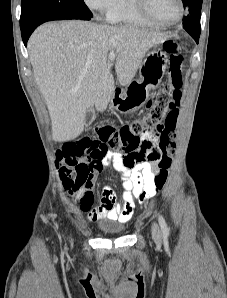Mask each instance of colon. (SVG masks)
<instances>
[{"instance_id":"1","label":"colon","mask_w":227,"mask_h":298,"mask_svg":"<svg viewBox=\"0 0 227 298\" xmlns=\"http://www.w3.org/2000/svg\"><path fill=\"white\" fill-rule=\"evenodd\" d=\"M183 49L184 46L176 41L164 44V50L170 57L169 80L157 92L155 102L148 103L152 105L149 112L121 125L98 124L93 128L95 138L90 139L91 142H109L108 150H141L144 154L148 153L150 159L158 161L160 171L150 173V178H154L153 193L163 188L176 147L174 129L178 111L175 106L181 98ZM156 125H162L163 129L156 130Z\"/></svg>"}]
</instances>
